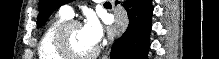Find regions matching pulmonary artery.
Returning a JSON list of instances; mask_svg holds the SVG:
<instances>
[{
    "instance_id": "1",
    "label": "pulmonary artery",
    "mask_w": 219,
    "mask_h": 59,
    "mask_svg": "<svg viewBox=\"0 0 219 59\" xmlns=\"http://www.w3.org/2000/svg\"><path fill=\"white\" fill-rule=\"evenodd\" d=\"M59 12L65 16L69 17V18H71L74 14V10H73V7L71 5H63L60 8Z\"/></svg>"
}]
</instances>
